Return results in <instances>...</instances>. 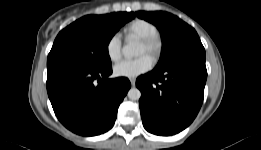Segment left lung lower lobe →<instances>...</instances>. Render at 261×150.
Wrapping results in <instances>:
<instances>
[{
    "instance_id": "1",
    "label": "left lung lower lobe",
    "mask_w": 261,
    "mask_h": 150,
    "mask_svg": "<svg viewBox=\"0 0 261 150\" xmlns=\"http://www.w3.org/2000/svg\"><path fill=\"white\" fill-rule=\"evenodd\" d=\"M205 59L201 41H194L137 78L142 122L148 132L174 135L192 123L203 102Z\"/></svg>"
}]
</instances>
